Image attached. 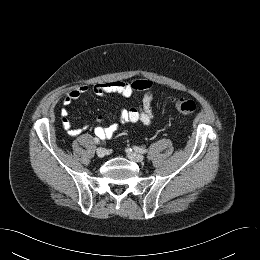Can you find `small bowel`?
Listing matches in <instances>:
<instances>
[{
	"instance_id": "obj_1",
	"label": "small bowel",
	"mask_w": 260,
	"mask_h": 260,
	"mask_svg": "<svg viewBox=\"0 0 260 260\" xmlns=\"http://www.w3.org/2000/svg\"><path fill=\"white\" fill-rule=\"evenodd\" d=\"M90 90L98 96L117 94L126 98L131 97L138 92L143 93L141 106L122 110L117 122L105 125V117L99 116L95 127V134L98 137L110 138L119 130L121 126L129 123H142L143 125H149L151 123L154 115L152 106L155 95L154 83L149 79H139L132 82L113 80L96 83L92 87L80 85L66 94L63 99L64 107L60 110V115L63 127L68 131L69 135L78 136L82 134L87 127H72L68 120L69 112L66 107H68L75 100L79 99L83 94L88 93Z\"/></svg>"
}]
</instances>
